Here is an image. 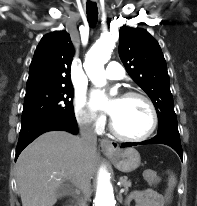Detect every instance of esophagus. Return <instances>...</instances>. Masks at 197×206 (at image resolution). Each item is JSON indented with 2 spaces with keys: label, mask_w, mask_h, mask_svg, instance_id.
<instances>
[{
  "label": "esophagus",
  "mask_w": 197,
  "mask_h": 206,
  "mask_svg": "<svg viewBox=\"0 0 197 206\" xmlns=\"http://www.w3.org/2000/svg\"><path fill=\"white\" fill-rule=\"evenodd\" d=\"M96 1V0H92ZM118 143L114 141H110L108 139H102L100 141V149L105 153V154H112L118 149Z\"/></svg>",
  "instance_id": "obj_1"
}]
</instances>
